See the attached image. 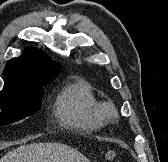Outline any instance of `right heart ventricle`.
I'll return each instance as SVG.
<instances>
[{
    "label": "right heart ventricle",
    "mask_w": 168,
    "mask_h": 162,
    "mask_svg": "<svg viewBox=\"0 0 168 162\" xmlns=\"http://www.w3.org/2000/svg\"><path fill=\"white\" fill-rule=\"evenodd\" d=\"M55 111L65 126L79 131H95L105 124L102 104L91 85L82 79H75L63 88L56 99Z\"/></svg>",
    "instance_id": "e07e8e85"
}]
</instances>
